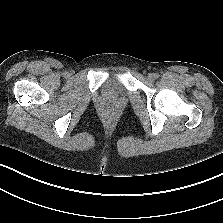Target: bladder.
<instances>
[{
  "label": "bladder",
  "instance_id": "31cf9c89",
  "mask_svg": "<svg viewBox=\"0 0 223 223\" xmlns=\"http://www.w3.org/2000/svg\"><path fill=\"white\" fill-rule=\"evenodd\" d=\"M106 91H107L108 93H112V91H113V86H108V87L106 88Z\"/></svg>",
  "mask_w": 223,
  "mask_h": 223
}]
</instances>
